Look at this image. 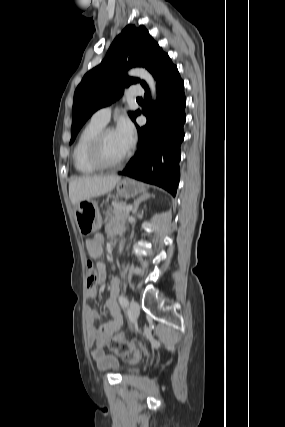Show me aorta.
<instances>
[{"mask_svg": "<svg viewBox=\"0 0 285 427\" xmlns=\"http://www.w3.org/2000/svg\"><path fill=\"white\" fill-rule=\"evenodd\" d=\"M128 74L130 76H134V77H139L141 79H143L149 86L150 91H151V95L153 99H156V83L154 78L152 77V75L145 69L143 68H134L131 69ZM123 251V241L120 242L119 244V252L121 253Z\"/></svg>", "mask_w": 285, "mask_h": 427, "instance_id": "762f6f07", "label": "aorta"}]
</instances>
